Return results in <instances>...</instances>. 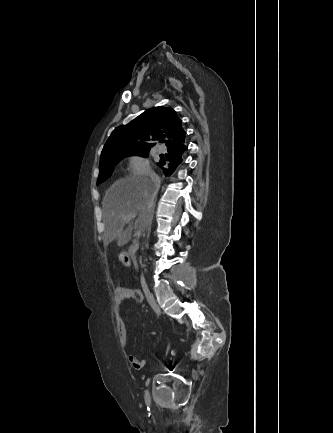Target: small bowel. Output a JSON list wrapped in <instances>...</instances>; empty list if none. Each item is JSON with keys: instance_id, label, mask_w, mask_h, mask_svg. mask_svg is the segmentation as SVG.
<instances>
[{"instance_id": "1", "label": "small bowel", "mask_w": 333, "mask_h": 433, "mask_svg": "<svg viewBox=\"0 0 333 433\" xmlns=\"http://www.w3.org/2000/svg\"><path fill=\"white\" fill-rule=\"evenodd\" d=\"M115 298L118 304H121L125 299H135L136 301L140 302L143 300L144 294L138 288L118 287L115 290ZM117 328L119 332L120 344L127 351L128 361L134 368L140 369L143 366L144 362L143 360H140L135 354H133L128 350L129 337H128L126 324L122 314H120V317L118 319Z\"/></svg>"}]
</instances>
